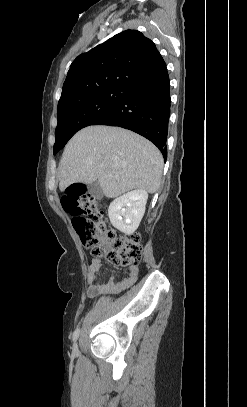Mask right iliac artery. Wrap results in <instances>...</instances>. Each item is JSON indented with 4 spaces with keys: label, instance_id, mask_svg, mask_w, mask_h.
I'll use <instances>...</instances> for the list:
<instances>
[{
    "label": "right iliac artery",
    "instance_id": "82829eb1",
    "mask_svg": "<svg viewBox=\"0 0 247 407\" xmlns=\"http://www.w3.org/2000/svg\"><path fill=\"white\" fill-rule=\"evenodd\" d=\"M79 333H80V329L77 328L73 333V341H75L78 338Z\"/></svg>",
    "mask_w": 247,
    "mask_h": 407
}]
</instances>
